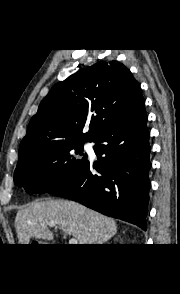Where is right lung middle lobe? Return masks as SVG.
<instances>
[{"mask_svg": "<svg viewBox=\"0 0 180 294\" xmlns=\"http://www.w3.org/2000/svg\"><path fill=\"white\" fill-rule=\"evenodd\" d=\"M84 142L42 148L18 162L14 181L29 193H46L71 179L87 162Z\"/></svg>", "mask_w": 180, "mask_h": 294, "instance_id": "1", "label": "right lung middle lobe"}]
</instances>
